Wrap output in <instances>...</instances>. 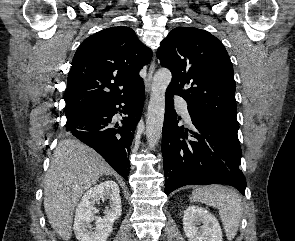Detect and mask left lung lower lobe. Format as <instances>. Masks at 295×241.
<instances>
[{"instance_id":"left-lung-lower-lobe-1","label":"left lung lower lobe","mask_w":295,"mask_h":241,"mask_svg":"<svg viewBox=\"0 0 295 241\" xmlns=\"http://www.w3.org/2000/svg\"><path fill=\"white\" fill-rule=\"evenodd\" d=\"M191 116L195 141L187 130L178 126L173 93L166 91L165 118L162 132L165 193L185 185L227 184L245 195L246 180L239 165L241 148L237 131L202 117Z\"/></svg>"}]
</instances>
